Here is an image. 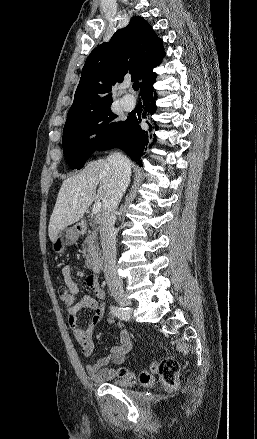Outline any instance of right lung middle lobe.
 Returning <instances> with one entry per match:
<instances>
[{
	"label": "right lung middle lobe",
	"instance_id": "obj_1",
	"mask_svg": "<svg viewBox=\"0 0 257 439\" xmlns=\"http://www.w3.org/2000/svg\"><path fill=\"white\" fill-rule=\"evenodd\" d=\"M117 117L108 106L65 123L62 145L70 168L81 169L94 151L123 131L127 120Z\"/></svg>",
	"mask_w": 257,
	"mask_h": 439
}]
</instances>
